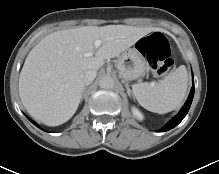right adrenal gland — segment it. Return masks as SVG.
Returning a JSON list of instances; mask_svg holds the SVG:
<instances>
[{"instance_id": "right-adrenal-gland-1", "label": "right adrenal gland", "mask_w": 219, "mask_h": 174, "mask_svg": "<svg viewBox=\"0 0 219 174\" xmlns=\"http://www.w3.org/2000/svg\"><path fill=\"white\" fill-rule=\"evenodd\" d=\"M85 90H86V88H84V90H83V94H84Z\"/></svg>"}]
</instances>
